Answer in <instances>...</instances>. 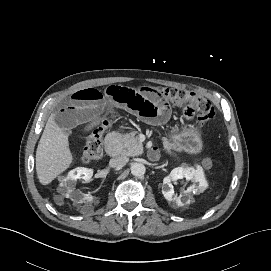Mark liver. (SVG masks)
<instances>
[{"mask_svg":"<svg viewBox=\"0 0 271 271\" xmlns=\"http://www.w3.org/2000/svg\"><path fill=\"white\" fill-rule=\"evenodd\" d=\"M72 161L68 135L58 127L55 113H52L36 151V172L39 182L43 185L51 183L71 165Z\"/></svg>","mask_w":271,"mask_h":271,"instance_id":"liver-1","label":"liver"}]
</instances>
